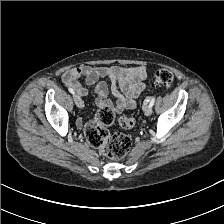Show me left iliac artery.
Segmentation results:
<instances>
[{
	"label": "left iliac artery",
	"instance_id": "44dca946",
	"mask_svg": "<svg viewBox=\"0 0 224 224\" xmlns=\"http://www.w3.org/2000/svg\"><path fill=\"white\" fill-rule=\"evenodd\" d=\"M154 102H155V97H152V98L150 99V104L153 106V105H154Z\"/></svg>",
	"mask_w": 224,
	"mask_h": 224
}]
</instances>
